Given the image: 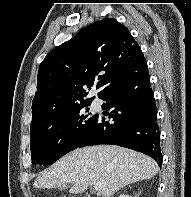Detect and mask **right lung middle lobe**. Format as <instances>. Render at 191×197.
Here are the masks:
<instances>
[{"label": "right lung middle lobe", "instance_id": "dd1d6c3e", "mask_svg": "<svg viewBox=\"0 0 191 197\" xmlns=\"http://www.w3.org/2000/svg\"><path fill=\"white\" fill-rule=\"evenodd\" d=\"M85 102L46 119L30 129L32 164L48 166L76 149L92 128L97 115Z\"/></svg>", "mask_w": 191, "mask_h": 197}]
</instances>
